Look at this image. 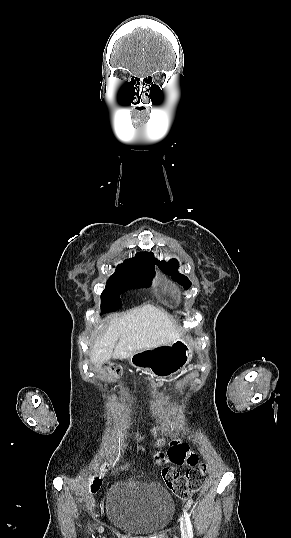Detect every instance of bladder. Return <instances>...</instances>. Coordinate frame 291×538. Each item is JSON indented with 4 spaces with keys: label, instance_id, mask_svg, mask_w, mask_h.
<instances>
[{
    "label": "bladder",
    "instance_id": "1",
    "mask_svg": "<svg viewBox=\"0 0 291 538\" xmlns=\"http://www.w3.org/2000/svg\"><path fill=\"white\" fill-rule=\"evenodd\" d=\"M107 519L113 526L145 538L159 533L171 521L174 502L158 482L142 470L125 469L117 473L106 493Z\"/></svg>",
    "mask_w": 291,
    "mask_h": 538
}]
</instances>
